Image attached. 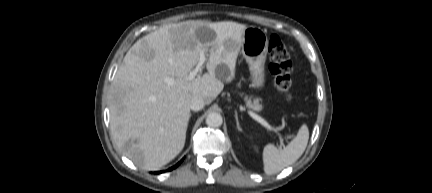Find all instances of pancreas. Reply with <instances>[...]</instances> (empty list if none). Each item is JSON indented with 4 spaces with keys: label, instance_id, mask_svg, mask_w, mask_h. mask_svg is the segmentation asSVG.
<instances>
[{
    "label": "pancreas",
    "instance_id": "pancreas-1",
    "mask_svg": "<svg viewBox=\"0 0 432 193\" xmlns=\"http://www.w3.org/2000/svg\"><path fill=\"white\" fill-rule=\"evenodd\" d=\"M245 101H246V107L254 111H260L263 108V106L259 103L260 101L259 98H255L253 101H251L250 98L245 97Z\"/></svg>",
    "mask_w": 432,
    "mask_h": 193
}]
</instances>
